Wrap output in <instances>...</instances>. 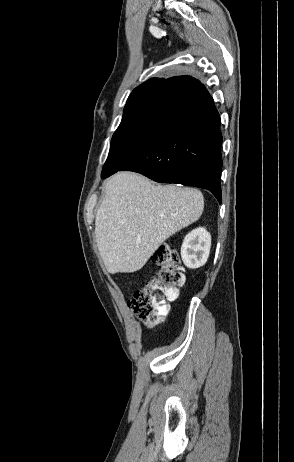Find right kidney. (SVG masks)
<instances>
[{
	"label": "right kidney",
	"mask_w": 294,
	"mask_h": 462,
	"mask_svg": "<svg viewBox=\"0 0 294 462\" xmlns=\"http://www.w3.org/2000/svg\"><path fill=\"white\" fill-rule=\"evenodd\" d=\"M211 235L203 227L189 232L181 246V258L186 267L197 269L203 266L209 257Z\"/></svg>",
	"instance_id": "obj_1"
}]
</instances>
